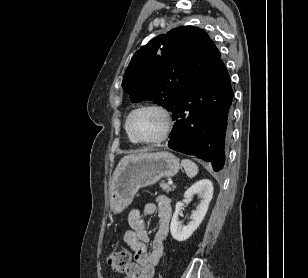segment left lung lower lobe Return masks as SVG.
Segmentation results:
<instances>
[{"mask_svg": "<svg viewBox=\"0 0 308 278\" xmlns=\"http://www.w3.org/2000/svg\"><path fill=\"white\" fill-rule=\"evenodd\" d=\"M233 95L230 76L219 60L189 87L173 108L175 126L168 146L211 162L214 171L221 170L230 138Z\"/></svg>", "mask_w": 308, "mask_h": 278, "instance_id": "left-lung-lower-lobe-1", "label": "left lung lower lobe"}]
</instances>
